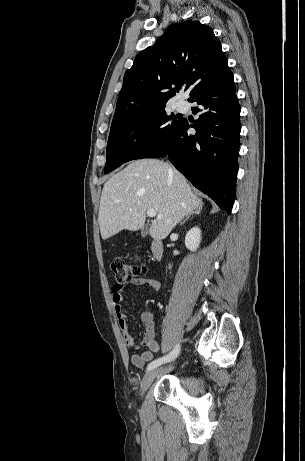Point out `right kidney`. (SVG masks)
<instances>
[{
    "mask_svg": "<svg viewBox=\"0 0 305 461\" xmlns=\"http://www.w3.org/2000/svg\"><path fill=\"white\" fill-rule=\"evenodd\" d=\"M201 241V230L198 227L191 228L185 236V245L191 251H196Z\"/></svg>",
    "mask_w": 305,
    "mask_h": 461,
    "instance_id": "1",
    "label": "right kidney"
}]
</instances>
